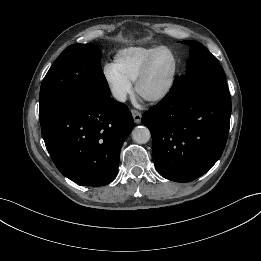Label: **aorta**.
<instances>
[{
	"label": "aorta",
	"instance_id": "762f6f07",
	"mask_svg": "<svg viewBox=\"0 0 261 261\" xmlns=\"http://www.w3.org/2000/svg\"><path fill=\"white\" fill-rule=\"evenodd\" d=\"M151 134L147 127L137 126L132 131V139L138 144H145L150 140Z\"/></svg>",
	"mask_w": 261,
	"mask_h": 261
}]
</instances>
